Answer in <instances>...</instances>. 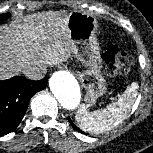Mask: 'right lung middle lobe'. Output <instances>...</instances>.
Returning <instances> with one entry per match:
<instances>
[{
	"label": "right lung middle lobe",
	"instance_id": "1",
	"mask_svg": "<svg viewBox=\"0 0 153 153\" xmlns=\"http://www.w3.org/2000/svg\"><path fill=\"white\" fill-rule=\"evenodd\" d=\"M10 17V14L5 13V14H0V23L4 22Z\"/></svg>",
	"mask_w": 153,
	"mask_h": 153
}]
</instances>
